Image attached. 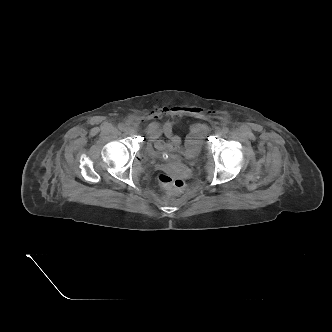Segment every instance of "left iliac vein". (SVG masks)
<instances>
[{
    "instance_id": "1",
    "label": "left iliac vein",
    "mask_w": 332,
    "mask_h": 332,
    "mask_svg": "<svg viewBox=\"0 0 332 332\" xmlns=\"http://www.w3.org/2000/svg\"><path fill=\"white\" fill-rule=\"evenodd\" d=\"M216 133H217L218 136H221L223 134V131L222 130H217Z\"/></svg>"
}]
</instances>
